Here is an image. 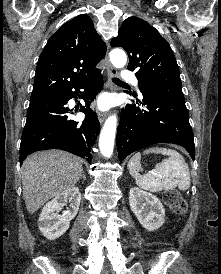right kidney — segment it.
Instances as JSON below:
<instances>
[{
  "label": "right kidney",
  "mask_w": 221,
  "mask_h": 274,
  "mask_svg": "<svg viewBox=\"0 0 221 274\" xmlns=\"http://www.w3.org/2000/svg\"><path fill=\"white\" fill-rule=\"evenodd\" d=\"M70 202V207L62 215L58 211ZM81 201L78 187H72L58 194L43 207L38 220L40 232L49 240L63 235L69 228L70 221L77 215Z\"/></svg>",
  "instance_id": "obj_1"
}]
</instances>
